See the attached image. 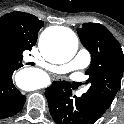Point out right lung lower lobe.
Instances as JSON below:
<instances>
[{
    "label": "right lung lower lobe",
    "instance_id": "right-lung-lower-lobe-1",
    "mask_svg": "<svg viewBox=\"0 0 124 124\" xmlns=\"http://www.w3.org/2000/svg\"><path fill=\"white\" fill-rule=\"evenodd\" d=\"M18 68L14 65L0 66V119L18 113L26 101V97L16 89L12 81V75Z\"/></svg>",
    "mask_w": 124,
    "mask_h": 124
}]
</instances>
